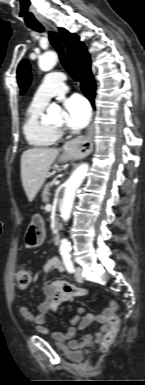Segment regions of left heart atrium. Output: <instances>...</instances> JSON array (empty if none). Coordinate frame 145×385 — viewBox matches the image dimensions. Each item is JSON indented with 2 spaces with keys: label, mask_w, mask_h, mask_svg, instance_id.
Masks as SVG:
<instances>
[{
  "label": "left heart atrium",
  "mask_w": 145,
  "mask_h": 385,
  "mask_svg": "<svg viewBox=\"0 0 145 385\" xmlns=\"http://www.w3.org/2000/svg\"><path fill=\"white\" fill-rule=\"evenodd\" d=\"M66 125L71 129L84 128L91 116L90 106L87 100L81 95H72L63 102Z\"/></svg>",
  "instance_id": "39dd6f15"
}]
</instances>
